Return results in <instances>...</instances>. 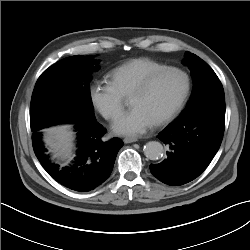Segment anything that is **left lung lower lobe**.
Returning a JSON list of instances; mask_svg holds the SVG:
<instances>
[{
    "label": "left lung lower lobe",
    "mask_w": 250,
    "mask_h": 250,
    "mask_svg": "<svg viewBox=\"0 0 250 250\" xmlns=\"http://www.w3.org/2000/svg\"><path fill=\"white\" fill-rule=\"evenodd\" d=\"M224 121L225 98L178 117L157 136L168 151L165 160L150 165L151 173L171 186L183 185L197 178L221 145Z\"/></svg>",
    "instance_id": "obj_1"
}]
</instances>
